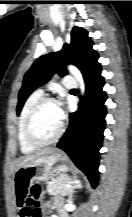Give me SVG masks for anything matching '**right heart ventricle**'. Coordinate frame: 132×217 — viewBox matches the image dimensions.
<instances>
[{
	"label": "right heart ventricle",
	"mask_w": 132,
	"mask_h": 217,
	"mask_svg": "<svg viewBox=\"0 0 132 217\" xmlns=\"http://www.w3.org/2000/svg\"><path fill=\"white\" fill-rule=\"evenodd\" d=\"M43 97V92L40 90H36L34 92H32L28 98L26 99L22 111H21V115L19 118V122H18V143H19V147L22 153L24 154H30L33 153L36 150V147L30 145L26 138H25V134H24V128H25V122L26 119L31 111V109L34 107V105Z\"/></svg>",
	"instance_id": "obj_1"
}]
</instances>
